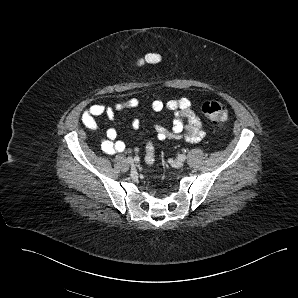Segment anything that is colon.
Masks as SVG:
<instances>
[{
    "mask_svg": "<svg viewBox=\"0 0 298 298\" xmlns=\"http://www.w3.org/2000/svg\"><path fill=\"white\" fill-rule=\"evenodd\" d=\"M158 61L159 58L155 53H149L140 60V63H157ZM201 109L204 116L213 123L224 124L228 120V109L224 104L220 102L206 101L202 104ZM146 161L150 164L154 161V148L151 144L147 146Z\"/></svg>",
    "mask_w": 298,
    "mask_h": 298,
    "instance_id": "1",
    "label": "colon"
}]
</instances>
